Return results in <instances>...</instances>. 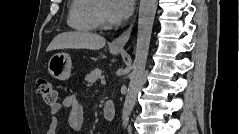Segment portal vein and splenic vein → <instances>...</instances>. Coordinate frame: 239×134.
Segmentation results:
<instances>
[{
  "mask_svg": "<svg viewBox=\"0 0 239 134\" xmlns=\"http://www.w3.org/2000/svg\"><path fill=\"white\" fill-rule=\"evenodd\" d=\"M101 83H102V84H105V83H106V81L102 79V80H101Z\"/></svg>",
  "mask_w": 239,
  "mask_h": 134,
  "instance_id": "obj_1",
  "label": "portal vein and splenic vein"
}]
</instances>
